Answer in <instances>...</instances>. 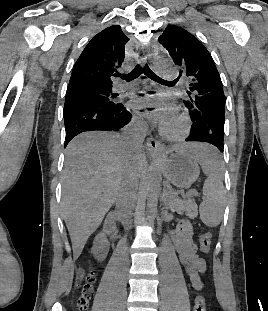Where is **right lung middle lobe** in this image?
<instances>
[{
	"label": "right lung middle lobe",
	"instance_id": "obj_1",
	"mask_svg": "<svg viewBox=\"0 0 268 311\" xmlns=\"http://www.w3.org/2000/svg\"><path fill=\"white\" fill-rule=\"evenodd\" d=\"M111 88L78 85L67 89L64 114L72 105H90L111 108L116 103L111 100Z\"/></svg>",
	"mask_w": 268,
	"mask_h": 311
}]
</instances>
